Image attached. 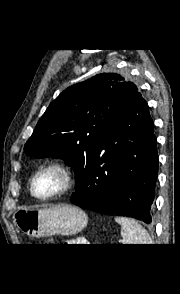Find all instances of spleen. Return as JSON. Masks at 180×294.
<instances>
[{
  "mask_svg": "<svg viewBox=\"0 0 180 294\" xmlns=\"http://www.w3.org/2000/svg\"><path fill=\"white\" fill-rule=\"evenodd\" d=\"M115 221L121 226L124 244H151V238L146 229L134 219L117 216Z\"/></svg>",
  "mask_w": 180,
  "mask_h": 294,
  "instance_id": "spleen-1",
  "label": "spleen"
}]
</instances>
